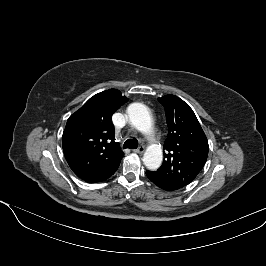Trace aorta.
<instances>
[{
	"instance_id": "762f6f07",
	"label": "aorta",
	"mask_w": 266,
	"mask_h": 266,
	"mask_svg": "<svg viewBox=\"0 0 266 266\" xmlns=\"http://www.w3.org/2000/svg\"><path fill=\"white\" fill-rule=\"evenodd\" d=\"M127 115L130 123L137 130L145 135L152 132V118L147 108L141 103H132L127 108ZM163 159L160 145L151 144L147 147L143 162L149 170H156L160 167Z\"/></svg>"
}]
</instances>
